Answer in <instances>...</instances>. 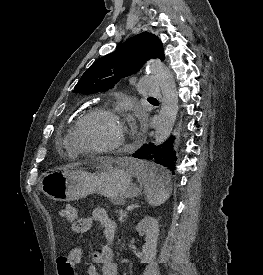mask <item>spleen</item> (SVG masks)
Returning a JSON list of instances; mask_svg holds the SVG:
<instances>
[{"label":"spleen","instance_id":"spleen-1","mask_svg":"<svg viewBox=\"0 0 263 275\" xmlns=\"http://www.w3.org/2000/svg\"><path fill=\"white\" fill-rule=\"evenodd\" d=\"M123 167L127 168L137 178L138 183L144 186V192L149 205L159 206L170 197V190L161 181L149 174L150 167L143 161L126 159Z\"/></svg>","mask_w":263,"mask_h":275}]
</instances>
